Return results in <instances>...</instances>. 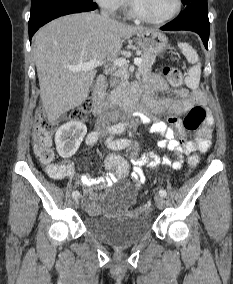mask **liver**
Instances as JSON below:
<instances>
[{
    "label": "liver",
    "instance_id": "obj_1",
    "mask_svg": "<svg viewBox=\"0 0 233 284\" xmlns=\"http://www.w3.org/2000/svg\"><path fill=\"white\" fill-rule=\"evenodd\" d=\"M144 30L147 29L96 13L67 15L39 29L34 37L33 56L48 120L56 121L88 97L95 71L74 72L68 66L93 59L114 61L123 42Z\"/></svg>",
    "mask_w": 233,
    "mask_h": 284
}]
</instances>
